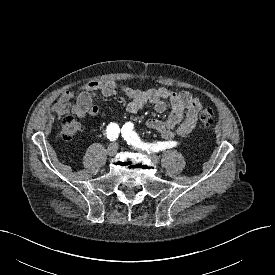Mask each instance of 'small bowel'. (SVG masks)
Segmentation results:
<instances>
[{
	"mask_svg": "<svg viewBox=\"0 0 275 275\" xmlns=\"http://www.w3.org/2000/svg\"><path fill=\"white\" fill-rule=\"evenodd\" d=\"M124 95L128 99L126 110L137 113L145 105L151 104L157 113H164L167 101L171 105V113L166 120L148 119L146 126L165 140H173L176 136H187L196 126L198 113L202 108L201 101L187 91L175 92L164 87L137 90L127 86H119L112 80L90 82L76 92L65 91L57 99L53 110L58 116L73 113L83 118L98 116L100 108L93 104L98 95L114 97Z\"/></svg>",
	"mask_w": 275,
	"mask_h": 275,
	"instance_id": "1",
	"label": "small bowel"
}]
</instances>
